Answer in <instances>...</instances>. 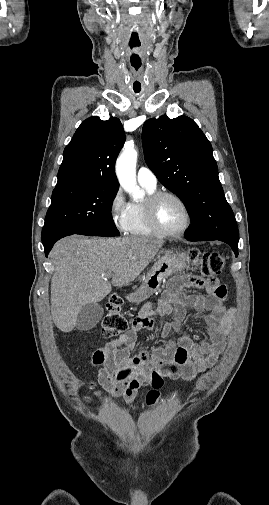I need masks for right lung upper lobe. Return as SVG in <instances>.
Returning <instances> with one entry per match:
<instances>
[{"mask_svg":"<svg viewBox=\"0 0 269 505\" xmlns=\"http://www.w3.org/2000/svg\"><path fill=\"white\" fill-rule=\"evenodd\" d=\"M124 142L118 118L103 121L93 116L84 120L64 150L56 187L80 184L118 188L115 161Z\"/></svg>","mask_w":269,"mask_h":505,"instance_id":"right-lung-upper-lobe-1","label":"right lung upper lobe"}]
</instances>
